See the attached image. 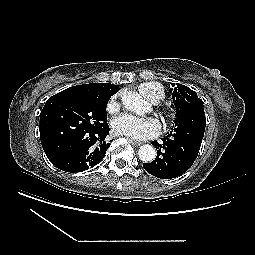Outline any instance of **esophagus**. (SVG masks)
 Returning a JSON list of instances; mask_svg holds the SVG:
<instances>
[{"label": "esophagus", "mask_w": 255, "mask_h": 255, "mask_svg": "<svg viewBox=\"0 0 255 255\" xmlns=\"http://www.w3.org/2000/svg\"><path fill=\"white\" fill-rule=\"evenodd\" d=\"M131 142H132L135 146H140V145H142V142H140V141L131 140Z\"/></svg>", "instance_id": "esophagus-1"}]
</instances>
